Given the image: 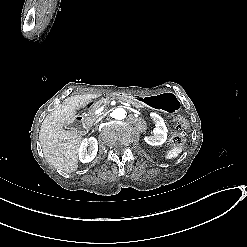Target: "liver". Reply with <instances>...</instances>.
<instances>
[{
  "label": "liver",
  "mask_w": 247,
  "mask_h": 247,
  "mask_svg": "<svg viewBox=\"0 0 247 247\" xmlns=\"http://www.w3.org/2000/svg\"><path fill=\"white\" fill-rule=\"evenodd\" d=\"M100 94L74 95L66 98L43 120L39 140L46 161L59 174L67 176L78 168V153L82 135L77 129L64 130L63 126L76 119L77 110L83 108Z\"/></svg>",
  "instance_id": "6515ba94"
}]
</instances>
